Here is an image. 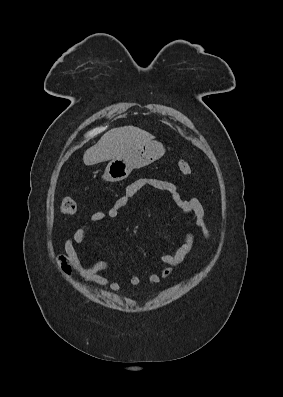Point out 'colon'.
Segmentation results:
<instances>
[{"label": "colon", "mask_w": 283, "mask_h": 397, "mask_svg": "<svg viewBox=\"0 0 283 397\" xmlns=\"http://www.w3.org/2000/svg\"><path fill=\"white\" fill-rule=\"evenodd\" d=\"M177 167H178L179 172L182 175L189 176L191 174V172H192V168H191L190 164L188 162H186V161H179ZM58 210H59V213L62 216L70 217V216H73L76 213L77 204L73 200V198L68 196V197H65L61 201ZM63 268L65 269V271H69V268H70L69 265L66 264L65 261H64V264H63Z\"/></svg>", "instance_id": "colon-1"}]
</instances>
